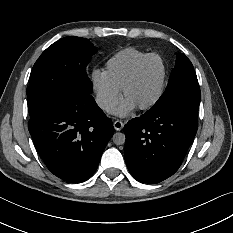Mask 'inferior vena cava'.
<instances>
[{"instance_id":"obj_1","label":"inferior vena cava","mask_w":233,"mask_h":233,"mask_svg":"<svg viewBox=\"0 0 233 233\" xmlns=\"http://www.w3.org/2000/svg\"><path fill=\"white\" fill-rule=\"evenodd\" d=\"M97 104L101 109L105 111H109L113 109L115 106H117L118 102L110 101L108 99H99L97 100Z\"/></svg>"}]
</instances>
